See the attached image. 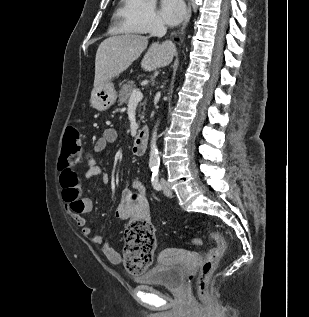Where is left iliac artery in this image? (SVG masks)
<instances>
[{"label":"left iliac artery","instance_id":"44dca946","mask_svg":"<svg viewBox=\"0 0 309 317\" xmlns=\"http://www.w3.org/2000/svg\"><path fill=\"white\" fill-rule=\"evenodd\" d=\"M158 178H159V173H158V169L156 168V170L152 174V179H151L152 185H153L154 189H156V190L161 189V185L158 181Z\"/></svg>","mask_w":309,"mask_h":317}]
</instances>
